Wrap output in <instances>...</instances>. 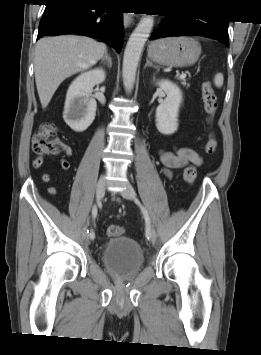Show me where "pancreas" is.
Segmentation results:
<instances>
[{
    "label": "pancreas",
    "instance_id": "pancreas-1",
    "mask_svg": "<svg viewBox=\"0 0 261 355\" xmlns=\"http://www.w3.org/2000/svg\"><path fill=\"white\" fill-rule=\"evenodd\" d=\"M181 84H182L183 86L189 87V84L186 83V80H183V81L181 82Z\"/></svg>",
    "mask_w": 261,
    "mask_h": 355
}]
</instances>
